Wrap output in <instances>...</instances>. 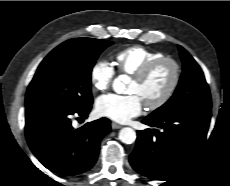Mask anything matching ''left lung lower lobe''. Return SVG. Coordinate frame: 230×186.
I'll list each match as a JSON object with an SVG mask.
<instances>
[{
    "label": "left lung lower lobe",
    "mask_w": 230,
    "mask_h": 186,
    "mask_svg": "<svg viewBox=\"0 0 230 186\" xmlns=\"http://www.w3.org/2000/svg\"><path fill=\"white\" fill-rule=\"evenodd\" d=\"M211 110L182 111L171 116L142 122L163 128L137 131L136 147L130 155L131 166L140 174L166 181L185 167L204 145Z\"/></svg>",
    "instance_id": "obj_1"
}]
</instances>
